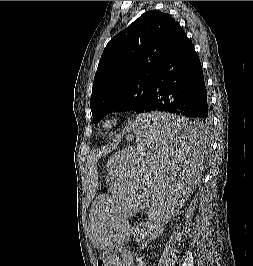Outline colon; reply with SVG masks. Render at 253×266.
<instances>
[{
	"mask_svg": "<svg viewBox=\"0 0 253 266\" xmlns=\"http://www.w3.org/2000/svg\"><path fill=\"white\" fill-rule=\"evenodd\" d=\"M119 260L113 252L104 251L97 259V266H118Z\"/></svg>",
	"mask_w": 253,
	"mask_h": 266,
	"instance_id": "5ec220e1",
	"label": "colon"
}]
</instances>
